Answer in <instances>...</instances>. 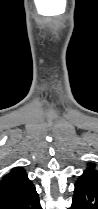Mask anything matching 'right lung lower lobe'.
Wrapping results in <instances>:
<instances>
[{"instance_id": "1", "label": "right lung lower lobe", "mask_w": 98, "mask_h": 209, "mask_svg": "<svg viewBox=\"0 0 98 209\" xmlns=\"http://www.w3.org/2000/svg\"><path fill=\"white\" fill-rule=\"evenodd\" d=\"M4 209H42V207L39 203V196L33 186Z\"/></svg>"}]
</instances>
